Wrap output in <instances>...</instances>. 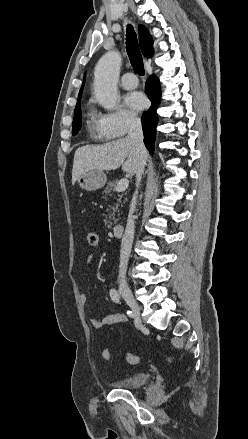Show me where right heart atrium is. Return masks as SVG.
Returning a JSON list of instances; mask_svg holds the SVG:
<instances>
[{
	"label": "right heart atrium",
	"instance_id": "obj_1",
	"mask_svg": "<svg viewBox=\"0 0 248 439\" xmlns=\"http://www.w3.org/2000/svg\"><path fill=\"white\" fill-rule=\"evenodd\" d=\"M99 135L103 138H120L139 125L136 113L123 107H118L106 113L97 114Z\"/></svg>",
	"mask_w": 248,
	"mask_h": 439
}]
</instances>
